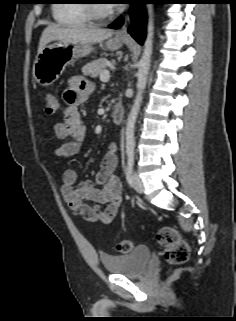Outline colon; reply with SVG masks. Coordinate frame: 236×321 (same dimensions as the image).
Instances as JSON below:
<instances>
[{
  "instance_id": "obj_1",
  "label": "colon",
  "mask_w": 236,
  "mask_h": 321,
  "mask_svg": "<svg viewBox=\"0 0 236 321\" xmlns=\"http://www.w3.org/2000/svg\"><path fill=\"white\" fill-rule=\"evenodd\" d=\"M45 111L48 115H54L59 109L58 98L53 94H47L44 99ZM157 243L165 249L164 258L170 265H180L185 263L190 255L188 243L182 238L180 233L171 226L160 228L156 234ZM119 253L127 254L133 249L131 240H120L116 244Z\"/></svg>"
}]
</instances>
